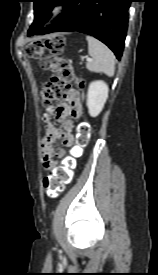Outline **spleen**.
Here are the masks:
<instances>
[{"label":"spleen","instance_id":"spleen-1","mask_svg":"<svg viewBox=\"0 0 158 275\" xmlns=\"http://www.w3.org/2000/svg\"><path fill=\"white\" fill-rule=\"evenodd\" d=\"M86 40L88 41L89 55L93 57L92 62L87 63V69L112 77L115 72V56L113 52L92 36H86Z\"/></svg>","mask_w":158,"mask_h":275}]
</instances>
